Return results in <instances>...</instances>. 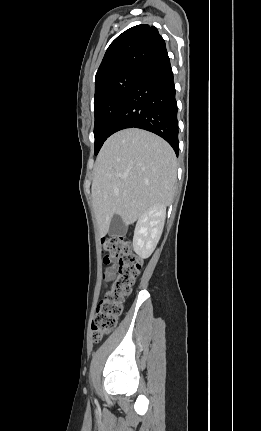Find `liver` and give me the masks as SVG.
<instances>
[{"label":"liver","instance_id":"1","mask_svg":"<svg viewBox=\"0 0 261 431\" xmlns=\"http://www.w3.org/2000/svg\"><path fill=\"white\" fill-rule=\"evenodd\" d=\"M176 182V156L161 137L137 128L110 136L97 156L91 189L100 236L114 215L128 226L151 206H168Z\"/></svg>","mask_w":261,"mask_h":431}]
</instances>
